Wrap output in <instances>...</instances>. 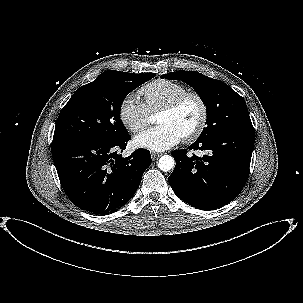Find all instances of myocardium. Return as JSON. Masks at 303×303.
<instances>
[{
	"label": "myocardium",
	"instance_id": "myocardium-1",
	"mask_svg": "<svg viewBox=\"0 0 303 303\" xmlns=\"http://www.w3.org/2000/svg\"><path fill=\"white\" fill-rule=\"evenodd\" d=\"M189 98H193L197 101L200 107V118L196 127L182 137V139L186 142H192L196 140L203 133L207 125L208 107L203 97L196 92L187 91L174 98L171 102L159 110V113L174 112Z\"/></svg>",
	"mask_w": 303,
	"mask_h": 303
}]
</instances>
